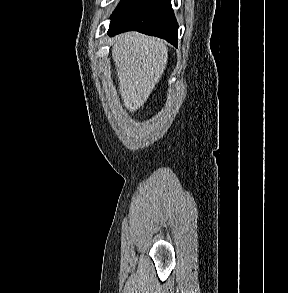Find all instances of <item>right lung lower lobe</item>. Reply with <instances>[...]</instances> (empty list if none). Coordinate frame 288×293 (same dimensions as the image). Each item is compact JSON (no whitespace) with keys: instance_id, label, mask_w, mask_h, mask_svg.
Instances as JSON below:
<instances>
[{"instance_id":"obj_1","label":"right lung lower lobe","mask_w":288,"mask_h":293,"mask_svg":"<svg viewBox=\"0 0 288 293\" xmlns=\"http://www.w3.org/2000/svg\"><path fill=\"white\" fill-rule=\"evenodd\" d=\"M126 31L157 36L177 47L178 24L170 0H130L111 18L108 35Z\"/></svg>"}]
</instances>
